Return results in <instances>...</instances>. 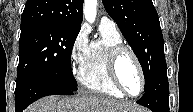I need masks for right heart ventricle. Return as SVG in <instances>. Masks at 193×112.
Here are the masks:
<instances>
[{
    "instance_id": "right-heart-ventricle-1",
    "label": "right heart ventricle",
    "mask_w": 193,
    "mask_h": 112,
    "mask_svg": "<svg viewBox=\"0 0 193 112\" xmlns=\"http://www.w3.org/2000/svg\"><path fill=\"white\" fill-rule=\"evenodd\" d=\"M101 37L90 43L88 52L78 79L86 89L112 96L123 98L121 93L111 82L107 70V57L109 50L118 44H123V39L118 30L100 27Z\"/></svg>"
}]
</instances>
